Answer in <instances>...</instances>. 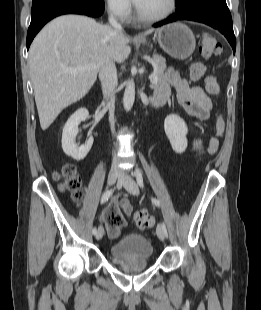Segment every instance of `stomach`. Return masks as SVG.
<instances>
[{"label": "stomach", "mask_w": 261, "mask_h": 310, "mask_svg": "<svg viewBox=\"0 0 261 310\" xmlns=\"http://www.w3.org/2000/svg\"><path fill=\"white\" fill-rule=\"evenodd\" d=\"M157 39L160 47L176 59L183 60L190 57L196 47L193 32L181 22L171 23L162 27L158 31Z\"/></svg>", "instance_id": "0dacf381"}]
</instances>
